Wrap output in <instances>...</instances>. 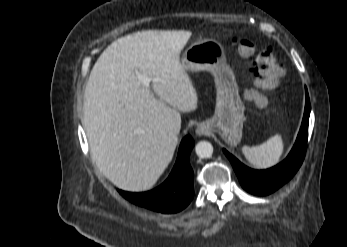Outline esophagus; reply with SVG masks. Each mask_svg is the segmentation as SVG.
Listing matches in <instances>:
<instances>
[{"mask_svg":"<svg viewBox=\"0 0 347 247\" xmlns=\"http://www.w3.org/2000/svg\"><path fill=\"white\" fill-rule=\"evenodd\" d=\"M208 133H209V129L204 124H200L196 128V134L198 136L207 135Z\"/></svg>","mask_w":347,"mask_h":247,"instance_id":"34e87169","label":"esophagus"}]
</instances>
